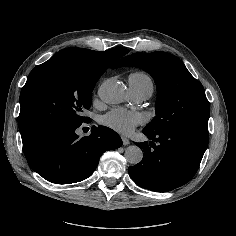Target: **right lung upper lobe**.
Instances as JSON below:
<instances>
[{"label": "right lung upper lobe", "mask_w": 236, "mask_h": 236, "mask_svg": "<svg viewBox=\"0 0 236 236\" xmlns=\"http://www.w3.org/2000/svg\"><path fill=\"white\" fill-rule=\"evenodd\" d=\"M73 49L80 52L86 58L107 68L110 67L119 58H121L122 56H124L129 52L128 49H122V48H114L103 52H96L93 50L83 49V48H73Z\"/></svg>", "instance_id": "1"}]
</instances>
